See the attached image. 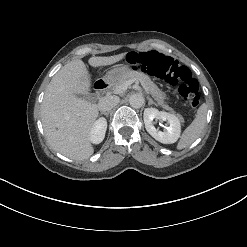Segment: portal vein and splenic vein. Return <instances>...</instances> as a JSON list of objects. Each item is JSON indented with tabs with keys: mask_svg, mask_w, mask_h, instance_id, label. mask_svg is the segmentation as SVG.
I'll use <instances>...</instances> for the list:
<instances>
[{
	"mask_svg": "<svg viewBox=\"0 0 247 247\" xmlns=\"http://www.w3.org/2000/svg\"><path fill=\"white\" fill-rule=\"evenodd\" d=\"M132 83H134V80L130 79V80H127L123 85L121 86H118L115 90H114V93L115 94H121L123 92H125L128 88V86H130ZM143 88L145 89V91L148 93V89L147 87L142 84Z\"/></svg>",
	"mask_w": 247,
	"mask_h": 247,
	"instance_id": "portal-vein-and-splenic-vein-1",
	"label": "portal vein and splenic vein"
}]
</instances>
